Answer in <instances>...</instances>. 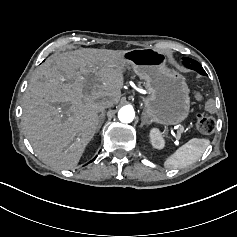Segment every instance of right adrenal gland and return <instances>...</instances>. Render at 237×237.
<instances>
[{
	"label": "right adrenal gland",
	"mask_w": 237,
	"mask_h": 237,
	"mask_svg": "<svg viewBox=\"0 0 237 237\" xmlns=\"http://www.w3.org/2000/svg\"><path fill=\"white\" fill-rule=\"evenodd\" d=\"M100 118V122H99V125H98V128H97V131L101 128L102 124H103V120L105 118V113L102 111V113L100 114L99 116Z\"/></svg>",
	"instance_id": "obj_1"
}]
</instances>
